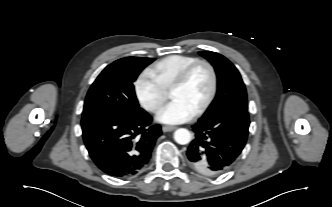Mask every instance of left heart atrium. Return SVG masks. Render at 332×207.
I'll return each mask as SVG.
<instances>
[{
  "instance_id": "obj_1",
  "label": "left heart atrium",
  "mask_w": 332,
  "mask_h": 207,
  "mask_svg": "<svg viewBox=\"0 0 332 207\" xmlns=\"http://www.w3.org/2000/svg\"><path fill=\"white\" fill-rule=\"evenodd\" d=\"M194 113L195 111L181 100L173 99L159 111L157 120L165 124H180L190 120Z\"/></svg>"
}]
</instances>
